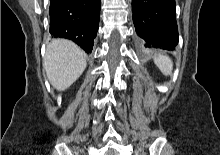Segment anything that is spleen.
Segmentation results:
<instances>
[{"label":"spleen","instance_id":"1","mask_svg":"<svg viewBox=\"0 0 220 155\" xmlns=\"http://www.w3.org/2000/svg\"><path fill=\"white\" fill-rule=\"evenodd\" d=\"M154 62L165 76L171 75L173 63L169 57L158 55L154 57Z\"/></svg>","mask_w":220,"mask_h":155}]
</instances>
